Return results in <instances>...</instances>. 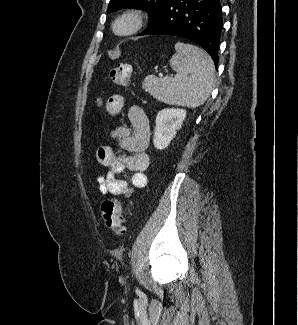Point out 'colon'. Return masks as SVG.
<instances>
[{
	"label": "colon",
	"instance_id": "obj_1",
	"mask_svg": "<svg viewBox=\"0 0 298 325\" xmlns=\"http://www.w3.org/2000/svg\"><path fill=\"white\" fill-rule=\"evenodd\" d=\"M131 75V66L121 63L112 68L108 78L114 84L126 86ZM101 215L105 226L117 235H124L126 228L124 225V210L122 204L116 199H106L101 204Z\"/></svg>",
	"mask_w": 298,
	"mask_h": 325
}]
</instances>
